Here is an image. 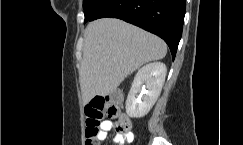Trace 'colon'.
Returning a JSON list of instances; mask_svg holds the SVG:
<instances>
[{"instance_id": "5ec220e1", "label": "colon", "mask_w": 243, "mask_h": 145, "mask_svg": "<svg viewBox=\"0 0 243 145\" xmlns=\"http://www.w3.org/2000/svg\"><path fill=\"white\" fill-rule=\"evenodd\" d=\"M104 116L118 119L116 129L119 132L127 131L130 128L128 119L120 117L119 109L114 101L105 98L93 99L85 107V145H98L97 135Z\"/></svg>"}]
</instances>
